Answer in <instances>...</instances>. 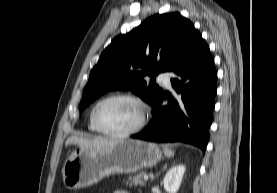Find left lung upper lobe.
I'll use <instances>...</instances> for the list:
<instances>
[{
    "instance_id": "5c2ea615",
    "label": "left lung upper lobe",
    "mask_w": 277,
    "mask_h": 193,
    "mask_svg": "<svg viewBox=\"0 0 277 193\" xmlns=\"http://www.w3.org/2000/svg\"><path fill=\"white\" fill-rule=\"evenodd\" d=\"M200 33L179 13L156 14L131 32L115 37L92 69L79 108L113 89H130L152 107L162 90L151 78L172 71Z\"/></svg>"
}]
</instances>
